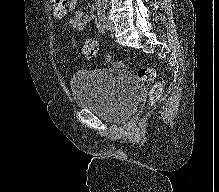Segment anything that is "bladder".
Returning a JSON list of instances; mask_svg holds the SVG:
<instances>
[{
    "mask_svg": "<svg viewBox=\"0 0 219 192\" xmlns=\"http://www.w3.org/2000/svg\"><path fill=\"white\" fill-rule=\"evenodd\" d=\"M71 90L78 108L108 122H121L138 107L143 88L129 73L103 67L73 74Z\"/></svg>",
    "mask_w": 219,
    "mask_h": 192,
    "instance_id": "1",
    "label": "bladder"
}]
</instances>
